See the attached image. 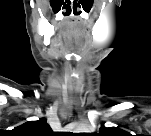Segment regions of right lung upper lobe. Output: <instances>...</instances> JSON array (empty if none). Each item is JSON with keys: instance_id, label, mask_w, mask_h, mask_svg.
I'll list each match as a JSON object with an SVG mask.
<instances>
[{"instance_id": "obj_1", "label": "right lung upper lobe", "mask_w": 151, "mask_h": 136, "mask_svg": "<svg viewBox=\"0 0 151 136\" xmlns=\"http://www.w3.org/2000/svg\"><path fill=\"white\" fill-rule=\"evenodd\" d=\"M50 126L47 124L45 118H40L37 121H28L18 127L13 131L18 135L27 136H45L49 133Z\"/></svg>"}]
</instances>
